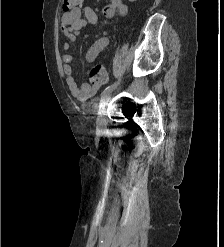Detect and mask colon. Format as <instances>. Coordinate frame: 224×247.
<instances>
[{
    "instance_id": "obj_1",
    "label": "colon",
    "mask_w": 224,
    "mask_h": 247,
    "mask_svg": "<svg viewBox=\"0 0 224 247\" xmlns=\"http://www.w3.org/2000/svg\"><path fill=\"white\" fill-rule=\"evenodd\" d=\"M82 2L83 0H63L62 7L65 12H68L79 6ZM90 77L93 83L99 84L104 82L106 79L105 68L100 64L94 65L90 71Z\"/></svg>"
}]
</instances>
